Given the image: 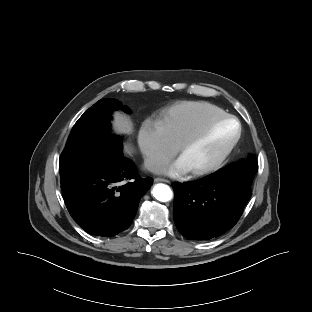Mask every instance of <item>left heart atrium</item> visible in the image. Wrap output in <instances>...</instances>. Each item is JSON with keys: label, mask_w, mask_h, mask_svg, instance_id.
I'll return each instance as SVG.
<instances>
[{"label": "left heart atrium", "mask_w": 312, "mask_h": 312, "mask_svg": "<svg viewBox=\"0 0 312 312\" xmlns=\"http://www.w3.org/2000/svg\"><path fill=\"white\" fill-rule=\"evenodd\" d=\"M191 170L185 159L181 156L171 165H169L165 172L171 176H179Z\"/></svg>", "instance_id": "1"}]
</instances>
